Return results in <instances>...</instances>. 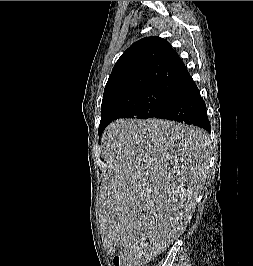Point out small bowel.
Wrapping results in <instances>:
<instances>
[{"mask_svg":"<svg viewBox=\"0 0 253 266\" xmlns=\"http://www.w3.org/2000/svg\"><path fill=\"white\" fill-rule=\"evenodd\" d=\"M131 259H132V257H131ZM132 263H133V259H132ZM131 266H132V264H131Z\"/></svg>","mask_w":253,"mask_h":266,"instance_id":"1","label":"small bowel"}]
</instances>
